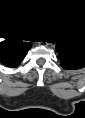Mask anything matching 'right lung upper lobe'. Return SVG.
Masks as SVG:
<instances>
[{
    "instance_id": "cb5924a9",
    "label": "right lung upper lobe",
    "mask_w": 85,
    "mask_h": 118,
    "mask_svg": "<svg viewBox=\"0 0 85 118\" xmlns=\"http://www.w3.org/2000/svg\"><path fill=\"white\" fill-rule=\"evenodd\" d=\"M23 50H11V55L13 57L12 64L15 65L17 62L19 63V59L23 56Z\"/></svg>"
}]
</instances>
